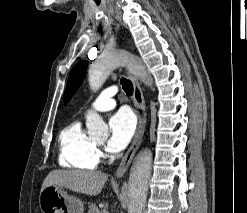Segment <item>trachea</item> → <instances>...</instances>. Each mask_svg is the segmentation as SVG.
<instances>
[{
  "label": "trachea",
  "instance_id": "1",
  "mask_svg": "<svg viewBox=\"0 0 247 213\" xmlns=\"http://www.w3.org/2000/svg\"><path fill=\"white\" fill-rule=\"evenodd\" d=\"M120 83L122 85L123 90L128 96L133 94V84L131 83L130 80L121 78Z\"/></svg>",
  "mask_w": 247,
  "mask_h": 213
}]
</instances>
